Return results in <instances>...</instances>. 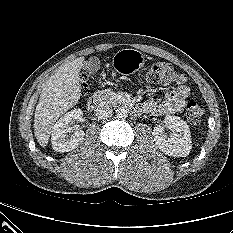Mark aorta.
Segmentation results:
<instances>
[{
	"instance_id": "obj_1",
	"label": "aorta",
	"mask_w": 233,
	"mask_h": 233,
	"mask_svg": "<svg viewBox=\"0 0 233 233\" xmlns=\"http://www.w3.org/2000/svg\"><path fill=\"white\" fill-rule=\"evenodd\" d=\"M128 115L127 109L124 107H119L116 109V117L119 119H124Z\"/></svg>"
}]
</instances>
